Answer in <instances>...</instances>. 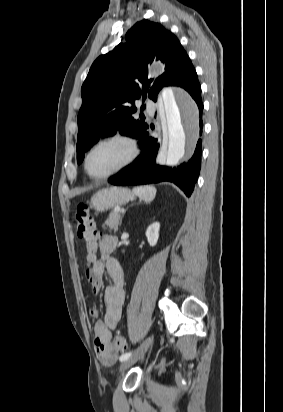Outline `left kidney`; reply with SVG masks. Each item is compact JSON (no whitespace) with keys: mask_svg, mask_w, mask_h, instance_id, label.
<instances>
[{"mask_svg":"<svg viewBox=\"0 0 283 412\" xmlns=\"http://www.w3.org/2000/svg\"><path fill=\"white\" fill-rule=\"evenodd\" d=\"M160 223H152L146 230V237L150 246H155L159 239Z\"/></svg>","mask_w":283,"mask_h":412,"instance_id":"left-kidney-1","label":"left kidney"}]
</instances>
